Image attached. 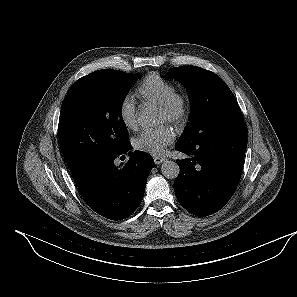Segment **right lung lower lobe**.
Returning a JSON list of instances; mask_svg holds the SVG:
<instances>
[{"mask_svg": "<svg viewBox=\"0 0 297 297\" xmlns=\"http://www.w3.org/2000/svg\"><path fill=\"white\" fill-rule=\"evenodd\" d=\"M131 144L110 154L88 160L72 172L73 179L86 203L99 215L111 220L130 216L140 205L148 175L154 161L143 151L129 152L128 162L118 167Z\"/></svg>", "mask_w": 297, "mask_h": 297, "instance_id": "obj_1", "label": "right lung lower lobe"}]
</instances>
